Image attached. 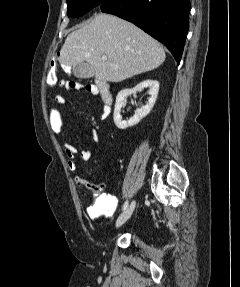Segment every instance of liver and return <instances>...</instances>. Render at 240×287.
Masks as SVG:
<instances>
[{
  "mask_svg": "<svg viewBox=\"0 0 240 287\" xmlns=\"http://www.w3.org/2000/svg\"><path fill=\"white\" fill-rule=\"evenodd\" d=\"M165 57L160 43L137 26L114 15L98 14L67 36L59 61L67 67L87 63L97 80L121 82L156 69Z\"/></svg>",
  "mask_w": 240,
  "mask_h": 287,
  "instance_id": "1",
  "label": "liver"
}]
</instances>
